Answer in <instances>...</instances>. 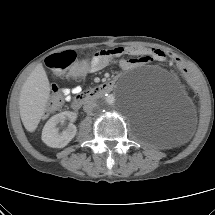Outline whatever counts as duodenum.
Returning <instances> with one entry per match:
<instances>
[{
	"label": "duodenum",
	"instance_id": "1",
	"mask_svg": "<svg viewBox=\"0 0 215 215\" xmlns=\"http://www.w3.org/2000/svg\"><path fill=\"white\" fill-rule=\"evenodd\" d=\"M115 85L116 84L114 81H110L103 83L93 89L87 90L86 92L75 97L71 104L72 108L75 110L80 109L81 107L92 102L97 97L110 93L115 88Z\"/></svg>",
	"mask_w": 215,
	"mask_h": 215
}]
</instances>
